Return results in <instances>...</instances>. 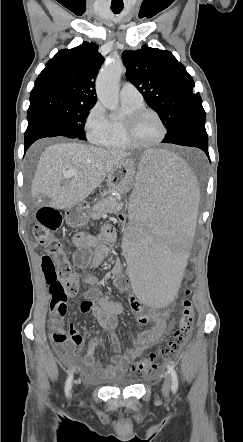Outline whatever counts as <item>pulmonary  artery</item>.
Listing matches in <instances>:
<instances>
[{
  "label": "pulmonary artery",
  "mask_w": 243,
  "mask_h": 442,
  "mask_svg": "<svg viewBox=\"0 0 243 442\" xmlns=\"http://www.w3.org/2000/svg\"><path fill=\"white\" fill-rule=\"evenodd\" d=\"M120 99L121 101H126L131 103L143 102L142 94L133 84L128 82H126L121 88Z\"/></svg>",
  "instance_id": "1"
}]
</instances>
